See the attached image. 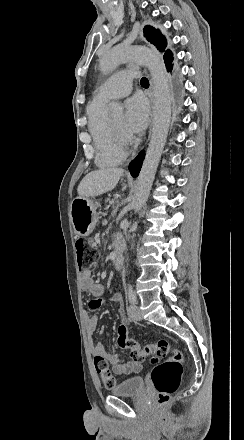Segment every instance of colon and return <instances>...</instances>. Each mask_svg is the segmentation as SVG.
Listing matches in <instances>:
<instances>
[{
	"mask_svg": "<svg viewBox=\"0 0 244 440\" xmlns=\"http://www.w3.org/2000/svg\"><path fill=\"white\" fill-rule=\"evenodd\" d=\"M76 263L83 271L86 267L98 262L99 250L90 244L86 239H77L75 243ZM118 346L122 350L130 352V357L136 363H142L146 357L152 356L151 363L155 365L152 380L160 403V408H165L171 395L179 387L183 355L179 350L174 349L166 340H159L155 343H148L145 346L139 345L135 340L127 337V329L118 326ZM96 372L101 376L102 381L112 386L116 383L114 373H111L108 360L101 355L93 359ZM178 374V375H177Z\"/></svg>",
	"mask_w": 244,
	"mask_h": 440,
	"instance_id": "5ec220e1",
	"label": "colon"
}]
</instances>
